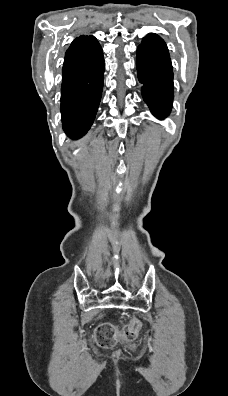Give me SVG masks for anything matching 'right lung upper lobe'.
Masks as SVG:
<instances>
[{
	"label": "right lung upper lobe",
	"instance_id": "1",
	"mask_svg": "<svg viewBox=\"0 0 228 396\" xmlns=\"http://www.w3.org/2000/svg\"><path fill=\"white\" fill-rule=\"evenodd\" d=\"M76 41L81 44V46L92 47L96 43V38L93 36H80L76 38Z\"/></svg>",
	"mask_w": 228,
	"mask_h": 396
}]
</instances>
